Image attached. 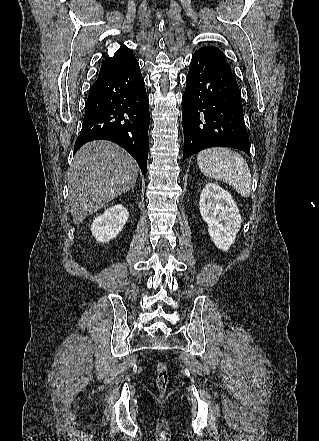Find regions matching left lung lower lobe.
Segmentation results:
<instances>
[{
  "label": "left lung lower lobe",
  "mask_w": 319,
  "mask_h": 441,
  "mask_svg": "<svg viewBox=\"0 0 319 441\" xmlns=\"http://www.w3.org/2000/svg\"><path fill=\"white\" fill-rule=\"evenodd\" d=\"M183 161L210 147H232L250 156L241 94L231 71L195 53L182 97Z\"/></svg>",
  "instance_id": "left-lung-lower-lobe-1"
}]
</instances>
